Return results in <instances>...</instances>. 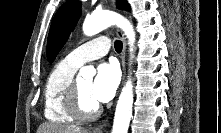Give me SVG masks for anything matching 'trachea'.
Returning a JSON list of instances; mask_svg holds the SVG:
<instances>
[{
    "label": "trachea",
    "mask_w": 221,
    "mask_h": 133,
    "mask_svg": "<svg viewBox=\"0 0 221 133\" xmlns=\"http://www.w3.org/2000/svg\"><path fill=\"white\" fill-rule=\"evenodd\" d=\"M114 47H115L116 52L120 53L122 51L123 44L120 40H116Z\"/></svg>",
    "instance_id": "1"
}]
</instances>
